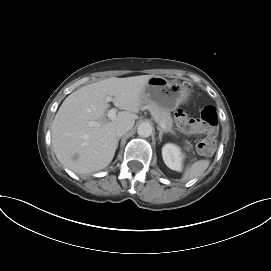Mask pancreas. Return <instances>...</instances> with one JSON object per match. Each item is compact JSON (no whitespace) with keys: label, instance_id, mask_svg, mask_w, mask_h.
<instances>
[{"label":"pancreas","instance_id":"1","mask_svg":"<svg viewBox=\"0 0 271 271\" xmlns=\"http://www.w3.org/2000/svg\"><path fill=\"white\" fill-rule=\"evenodd\" d=\"M146 108L150 111L153 118L160 124L161 122L166 125V131L175 134L173 127V119L170 113L154 103H145ZM187 149H192V144L189 141H185Z\"/></svg>","mask_w":271,"mask_h":271}]
</instances>
